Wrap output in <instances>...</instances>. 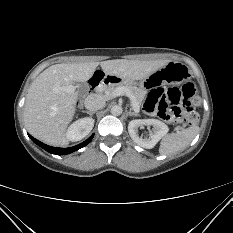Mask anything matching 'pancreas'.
I'll return each mask as SVG.
<instances>
[{
	"mask_svg": "<svg viewBox=\"0 0 233 233\" xmlns=\"http://www.w3.org/2000/svg\"><path fill=\"white\" fill-rule=\"evenodd\" d=\"M118 87L126 88L130 92V94L134 97L133 103L138 108H140V106L142 104V101L144 99V96H145V91H143V90H141V89H139L137 87L131 86L129 84L120 83V84H117V85H112V86L106 87V92H112L114 89H116Z\"/></svg>",
	"mask_w": 233,
	"mask_h": 233,
	"instance_id": "cf45deb5",
	"label": "pancreas"
}]
</instances>
